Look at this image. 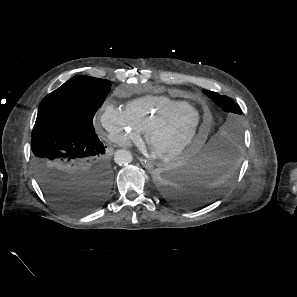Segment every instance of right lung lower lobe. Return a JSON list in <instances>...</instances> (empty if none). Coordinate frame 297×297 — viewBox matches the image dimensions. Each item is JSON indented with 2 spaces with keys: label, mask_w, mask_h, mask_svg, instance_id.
Wrapping results in <instances>:
<instances>
[{
  "label": "right lung lower lobe",
  "mask_w": 297,
  "mask_h": 297,
  "mask_svg": "<svg viewBox=\"0 0 297 297\" xmlns=\"http://www.w3.org/2000/svg\"><path fill=\"white\" fill-rule=\"evenodd\" d=\"M33 164L47 198L72 214L95 211L106 202L113 172L95 131L58 125L32 133Z\"/></svg>",
  "instance_id": "1"
}]
</instances>
